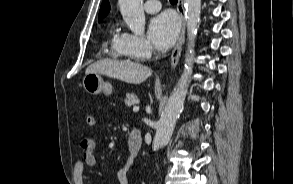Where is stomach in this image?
Listing matches in <instances>:
<instances>
[{"instance_id": "stomach-1", "label": "stomach", "mask_w": 293, "mask_h": 184, "mask_svg": "<svg viewBox=\"0 0 293 184\" xmlns=\"http://www.w3.org/2000/svg\"><path fill=\"white\" fill-rule=\"evenodd\" d=\"M83 87L91 95H97L102 92L110 95L113 90L111 83L104 81L102 74L99 73L86 74L83 78Z\"/></svg>"}]
</instances>
